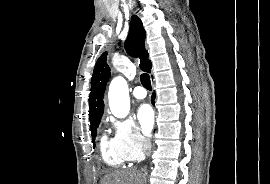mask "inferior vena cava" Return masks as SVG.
Masks as SVG:
<instances>
[{
  "label": "inferior vena cava",
  "mask_w": 270,
  "mask_h": 184,
  "mask_svg": "<svg viewBox=\"0 0 270 184\" xmlns=\"http://www.w3.org/2000/svg\"><path fill=\"white\" fill-rule=\"evenodd\" d=\"M143 147L147 151L151 150V142L149 139H143Z\"/></svg>",
  "instance_id": "602c4592"
}]
</instances>
